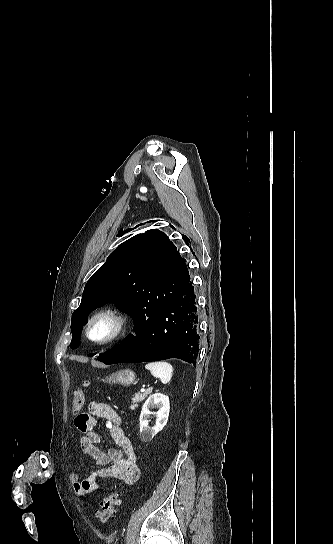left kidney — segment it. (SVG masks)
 <instances>
[{"mask_svg":"<svg viewBox=\"0 0 333 544\" xmlns=\"http://www.w3.org/2000/svg\"><path fill=\"white\" fill-rule=\"evenodd\" d=\"M157 408V412H151L150 409ZM170 411V404L168 396L155 393L148 397L142 407L140 414V438L142 441L147 442L153 439V437L160 432L167 424ZM156 417V423L152 427L149 426L150 416Z\"/></svg>","mask_w":333,"mask_h":544,"instance_id":"obj_1","label":"left kidney"}]
</instances>
